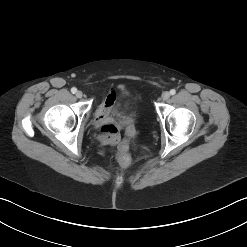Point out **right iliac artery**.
Returning <instances> with one entry per match:
<instances>
[{
    "label": "right iliac artery",
    "mask_w": 247,
    "mask_h": 247,
    "mask_svg": "<svg viewBox=\"0 0 247 247\" xmlns=\"http://www.w3.org/2000/svg\"><path fill=\"white\" fill-rule=\"evenodd\" d=\"M71 92H72L73 94H75V93L77 92V89H76L75 87H73V88L71 89Z\"/></svg>",
    "instance_id": "right-iliac-artery-1"
}]
</instances>
